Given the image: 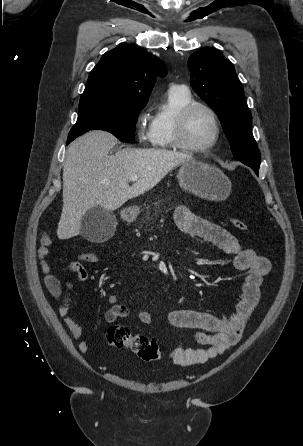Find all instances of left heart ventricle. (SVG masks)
Wrapping results in <instances>:
<instances>
[{"instance_id": "b2bd125f", "label": "left heart ventricle", "mask_w": 303, "mask_h": 446, "mask_svg": "<svg viewBox=\"0 0 303 446\" xmlns=\"http://www.w3.org/2000/svg\"><path fill=\"white\" fill-rule=\"evenodd\" d=\"M214 135V127L209 114L203 109L194 110L186 124V141L193 146L208 144Z\"/></svg>"}]
</instances>
